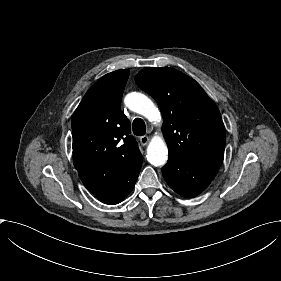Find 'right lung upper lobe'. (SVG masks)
<instances>
[{
    "mask_svg": "<svg viewBox=\"0 0 281 281\" xmlns=\"http://www.w3.org/2000/svg\"><path fill=\"white\" fill-rule=\"evenodd\" d=\"M128 77L127 69L104 75L87 91L72 118L74 166L94 195L112 186L142 156L120 109Z\"/></svg>",
    "mask_w": 281,
    "mask_h": 281,
    "instance_id": "right-lung-upper-lobe-1",
    "label": "right lung upper lobe"
}]
</instances>
